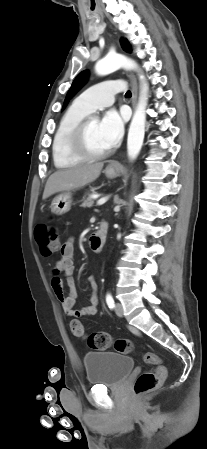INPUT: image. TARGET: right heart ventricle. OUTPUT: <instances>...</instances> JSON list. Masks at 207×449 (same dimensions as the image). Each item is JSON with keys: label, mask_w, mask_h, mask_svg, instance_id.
I'll return each instance as SVG.
<instances>
[{"label": "right heart ventricle", "mask_w": 207, "mask_h": 449, "mask_svg": "<svg viewBox=\"0 0 207 449\" xmlns=\"http://www.w3.org/2000/svg\"><path fill=\"white\" fill-rule=\"evenodd\" d=\"M89 114L74 102L62 116L52 142V157L57 168H70L84 161L71 152L69 140L75 126Z\"/></svg>", "instance_id": "1"}]
</instances>
